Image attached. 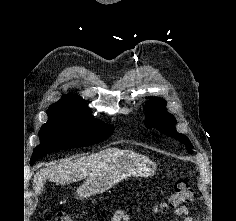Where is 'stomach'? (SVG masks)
Returning <instances> with one entry per match:
<instances>
[{
	"label": "stomach",
	"mask_w": 236,
	"mask_h": 221,
	"mask_svg": "<svg viewBox=\"0 0 236 221\" xmlns=\"http://www.w3.org/2000/svg\"><path fill=\"white\" fill-rule=\"evenodd\" d=\"M155 170L156 164L149 158L133 152L120 151L88 176L76 193L79 198L84 199L109 190L124 178L152 176Z\"/></svg>",
	"instance_id": "obj_1"
}]
</instances>
